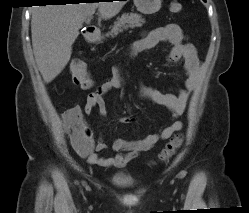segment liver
Wrapping results in <instances>:
<instances>
[{"label":"liver","instance_id":"6515ba94","mask_svg":"<svg viewBox=\"0 0 249 213\" xmlns=\"http://www.w3.org/2000/svg\"><path fill=\"white\" fill-rule=\"evenodd\" d=\"M124 4V1H112L34 6L32 46L44 82L54 80L69 62L72 45L87 17L98 8L101 18H112Z\"/></svg>","mask_w":249,"mask_h":213}]
</instances>
